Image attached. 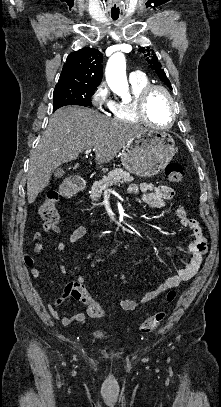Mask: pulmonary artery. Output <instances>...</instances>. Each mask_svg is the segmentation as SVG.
Segmentation results:
<instances>
[{
  "label": "pulmonary artery",
  "mask_w": 221,
  "mask_h": 407,
  "mask_svg": "<svg viewBox=\"0 0 221 407\" xmlns=\"http://www.w3.org/2000/svg\"><path fill=\"white\" fill-rule=\"evenodd\" d=\"M143 77V72L140 70L132 71L129 75L130 80L139 79Z\"/></svg>",
  "instance_id": "obj_1"
}]
</instances>
